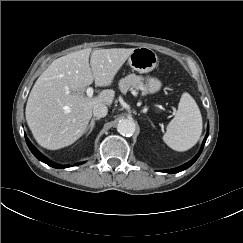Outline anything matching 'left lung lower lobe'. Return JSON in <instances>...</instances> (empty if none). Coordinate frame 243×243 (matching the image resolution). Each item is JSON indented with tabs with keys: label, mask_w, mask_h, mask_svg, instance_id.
Segmentation results:
<instances>
[{
	"label": "left lung lower lobe",
	"mask_w": 243,
	"mask_h": 243,
	"mask_svg": "<svg viewBox=\"0 0 243 243\" xmlns=\"http://www.w3.org/2000/svg\"><path fill=\"white\" fill-rule=\"evenodd\" d=\"M208 130H209V127H208ZM208 135H209V132L207 131V134H206L205 139L203 141V145L206 142V139H207ZM203 145H202L199 153L191 161L187 162L186 164H184V165H182L180 167H177V168H174V169H169V170H163L162 172L178 173V172H181V171L189 168L198 159V157L200 156V154H201V152L203 150Z\"/></svg>",
	"instance_id": "left-lung-lower-lobe-1"
}]
</instances>
